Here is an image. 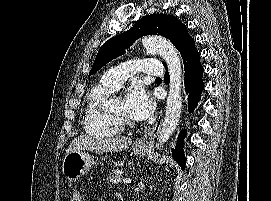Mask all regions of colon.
<instances>
[{"instance_id":"colon-1","label":"colon","mask_w":271,"mask_h":201,"mask_svg":"<svg viewBox=\"0 0 271 201\" xmlns=\"http://www.w3.org/2000/svg\"><path fill=\"white\" fill-rule=\"evenodd\" d=\"M72 201H83V196L79 191H75L72 196Z\"/></svg>"}]
</instances>
